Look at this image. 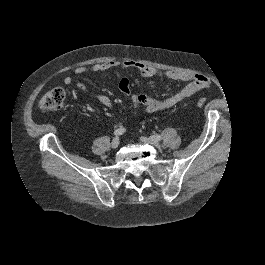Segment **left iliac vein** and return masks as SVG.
Here are the masks:
<instances>
[{"mask_svg":"<svg viewBox=\"0 0 265 265\" xmlns=\"http://www.w3.org/2000/svg\"><path fill=\"white\" fill-rule=\"evenodd\" d=\"M140 140H141L142 142H144V143H149V144H152V145L158 147V142L152 140L151 138H148V137H144V136H143V137L140 138Z\"/></svg>","mask_w":265,"mask_h":265,"instance_id":"obj_1","label":"left iliac vein"}]
</instances>
